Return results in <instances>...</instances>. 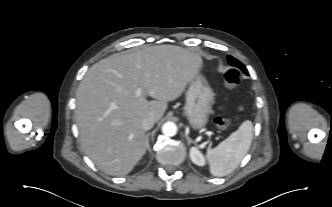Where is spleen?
I'll list each match as a JSON object with an SVG mask.
<instances>
[{"label":"spleen","instance_id":"3e777b00","mask_svg":"<svg viewBox=\"0 0 332 207\" xmlns=\"http://www.w3.org/2000/svg\"><path fill=\"white\" fill-rule=\"evenodd\" d=\"M253 136V124L244 121L240 127L217 147L207 151L210 173L223 177L233 172L247 154Z\"/></svg>","mask_w":332,"mask_h":207}]
</instances>
